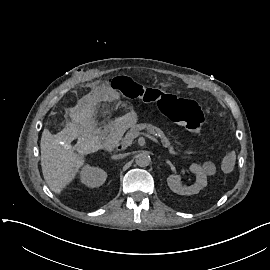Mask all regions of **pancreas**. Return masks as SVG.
<instances>
[{
    "instance_id": "pancreas-1",
    "label": "pancreas",
    "mask_w": 270,
    "mask_h": 270,
    "mask_svg": "<svg viewBox=\"0 0 270 270\" xmlns=\"http://www.w3.org/2000/svg\"><path fill=\"white\" fill-rule=\"evenodd\" d=\"M146 129L147 132L150 134L155 135L156 137H160V141L163 145L164 148H168L169 153L171 155H177L179 156L180 153H178L175 148L172 146L169 138L165 135V133L160 130L159 128L151 125V124H137L133 125L131 128V132L136 133L137 135H140V132L142 130Z\"/></svg>"
}]
</instances>
